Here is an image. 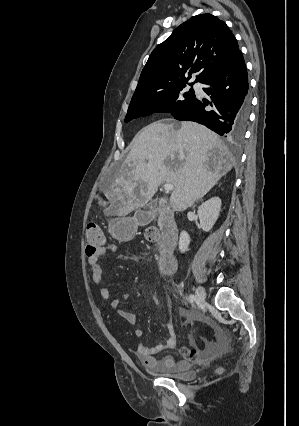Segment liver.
<instances>
[{
	"mask_svg": "<svg viewBox=\"0 0 299 426\" xmlns=\"http://www.w3.org/2000/svg\"><path fill=\"white\" fill-rule=\"evenodd\" d=\"M232 167L228 148L208 128L194 122H153L133 139L117 177L103 189L110 203L104 212L125 216L143 207L162 183L174 186L171 207L184 211ZM167 202V198H161L159 205Z\"/></svg>",
	"mask_w": 299,
	"mask_h": 426,
	"instance_id": "liver-1",
	"label": "liver"
}]
</instances>
